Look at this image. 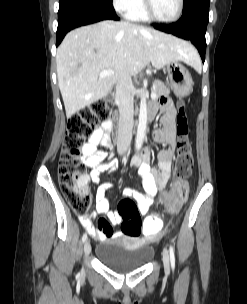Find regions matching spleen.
<instances>
[{
    "label": "spleen",
    "instance_id": "spleen-1",
    "mask_svg": "<svg viewBox=\"0 0 247 304\" xmlns=\"http://www.w3.org/2000/svg\"><path fill=\"white\" fill-rule=\"evenodd\" d=\"M193 67H195V68H197V69H199V68L201 67V64H200L199 58H198V63H197V65H196V66H193Z\"/></svg>",
    "mask_w": 247,
    "mask_h": 304
}]
</instances>
